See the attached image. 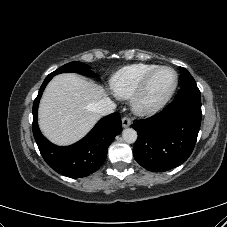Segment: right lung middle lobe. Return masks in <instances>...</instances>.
Instances as JSON below:
<instances>
[{
  "label": "right lung middle lobe",
  "mask_w": 227,
  "mask_h": 227,
  "mask_svg": "<svg viewBox=\"0 0 227 227\" xmlns=\"http://www.w3.org/2000/svg\"><path fill=\"white\" fill-rule=\"evenodd\" d=\"M65 72H76L83 75H93V72L89 69V67L81 62H70L68 64H65L64 66L60 67L56 71L49 74L50 76H55L60 73Z\"/></svg>",
  "instance_id": "obj_1"
}]
</instances>
